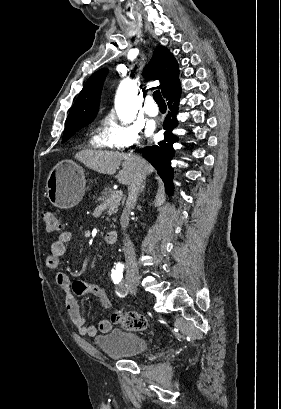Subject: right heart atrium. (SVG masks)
<instances>
[{
    "label": "right heart atrium",
    "instance_id": "obj_1",
    "mask_svg": "<svg viewBox=\"0 0 281 409\" xmlns=\"http://www.w3.org/2000/svg\"><path fill=\"white\" fill-rule=\"evenodd\" d=\"M117 119H103V130L100 138L105 147L112 149H129L142 144L143 126L137 121L136 115H121ZM150 127L146 129V135Z\"/></svg>",
    "mask_w": 281,
    "mask_h": 409
}]
</instances>
